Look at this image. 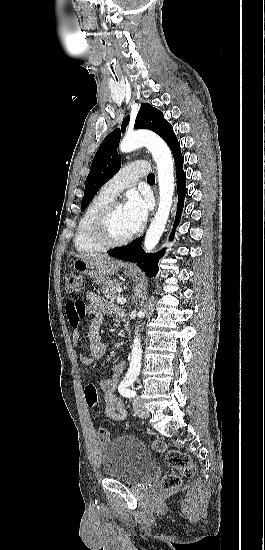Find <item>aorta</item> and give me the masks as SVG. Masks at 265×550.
Wrapping results in <instances>:
<instances>
[{
	"instance_id": "1",
	"label": "aorta",
	"mask_w": 265,
	"mask_h": 550,
	"mask_svg": "<svg viewBox=\"0 0 265 550\" xmlns=\"http://www.w3.org/2000/svg\"><path fill=\"white\" fill-rule=\"evenodd\" d=\"M142 146L147 147L152 153L157 165L159 181L158 210L144 239V248L147 252H150L159 242L169 217L174 194V167L169 147L160 137L151 132L138 131L127 134L120 144V150L128 153ZM139 315H144V312L140 310ZM138 331L139 327L136 328V336L133 341L129 375H137L141 367L142 350Z\"/></svg>"
}]
</instances>
